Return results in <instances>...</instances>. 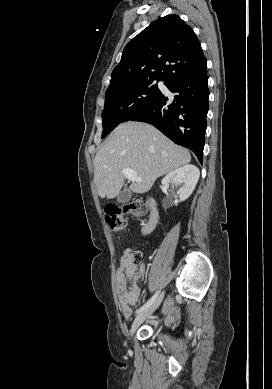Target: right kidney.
<instances>
[{"instance_id": "1", "label": "right kidney", "mask_w": 272, "mask_h": 389, "mask_svg": "<svg viewBox=\"0 0 272 389\" xmlns=\"http://www.w3.org/2000/svg\"><path fill=\"white\" fill-rule=\"evenodd\" d=\"M200 176L199 169L194 165H184L168 173L162 180L164 186L174 183L176 186L182 185L179 189V199L185 201L194 191Z\"/></svg>"}]
</instances>
